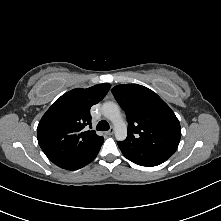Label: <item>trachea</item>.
Masks as SVG:
<instances>
[{
	"instance_id": "3493384b",
	"label": "trachea",
	"mask_w": 221,
	"mask_h": 221,
	"mask_svg": "<svg viewBox=\"0 0 221 221\" xmlns=\"http://www.w3.org/2000/svg\"><path fill=\"white\" fill-rule=\"evenodd\" d=\"M109 128L110 126L105 120L100 121L96 127L98 131H106V130H109Z\"/></svg>"
}]
</instances>
